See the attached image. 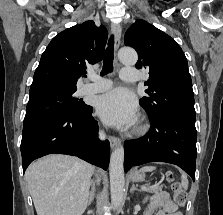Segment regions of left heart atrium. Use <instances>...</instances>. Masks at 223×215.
<instances>
[{"label":"left heart atrium","instance_id":"39dd6f15","mask_svg":"<svg viewBox=\"0 0 223 215\" xmlns=\"http://www.w3.org/2000/svg\"><path fill=\"white\" fill-rule=\"evenodd\" d=\"M96 107L102 120L112 126H128L137 118V100L124 88L101 95L97 99Z\"/></svg>","mask_w":223,"mask_h":215}]
</instances>
